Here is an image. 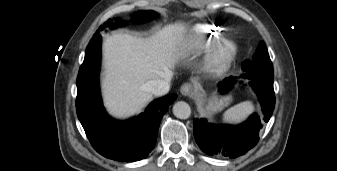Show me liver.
<instances>
[{"label":"liver","mask_w":337,"mask_h":171,"mask_svg":"<svg viewBox=\"0 0 337 171\" xmlns=\"http://www.w3.org/2000/svg\"><path fill=\"white\" fill-rule=\"evenodd\" d=\"M184 27L170 24L148 38L117 33L103 44L105 106L119 118L141 112L153 98L152 80L166 79L184 54Z\"/></svg>","instance_id":"6515ba94"}]
</instances>
